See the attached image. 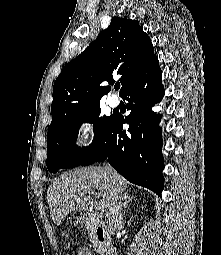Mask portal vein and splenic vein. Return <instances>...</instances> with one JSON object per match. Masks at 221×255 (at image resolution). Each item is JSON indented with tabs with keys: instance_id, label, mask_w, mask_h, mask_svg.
<instances>
[{
	"instance_id": "obj_1",
	"label": "portal vein and splenic vein",
	"mask_w": 221,
	"mask_h": 255,
	"mask_svg": "<svg viewBox=\"0 0 221 255\" xmlns=\"http://www.w3.org/2000/svg\"><path fill=\"white\" fill-rule=\"evenodd\" d=\"M95 208H96L97 210L101 209V208H102V203H101V202H96Z\"/></svg>"
}]
</instances>
